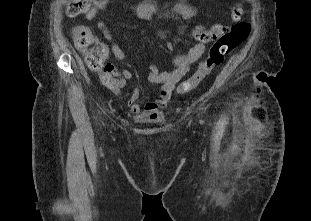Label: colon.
<instances>
[{
  "label": "colon",
  "mask_w": 311,
  "mask_h": 221,
  "mask_svg": "<svg viewBox=\"0 0 311 221\" xmlns=\"http://www.w3.org/2000/svg\"><path fill=\"white\" fill-rule=\"evenodd\" d=\"M95 0H74L66 1L64 12H69L70 17H91ZM232 17L235 20L244 17L238 4L231 7ZM229 25L215 24L209 31H200L197 40L207 42L212 40V36H220V41H215L211 47L208 57L198 66L196 72L186 81L176 87L177 94H187L208 77L212 71L218 67L225 56L233 52L249 35L250 29L246 21L239 23L233 28V33L224 36V31H228ZM73 40L76 48L83 54L87 66L97 73L102 81L111 78L112 70L105 62L108 57V50L103 44L96 42L93 31L86 25H80L73 30Z\"/></svg>",
  "instance_id": "obj_1"
}]
</instances>
